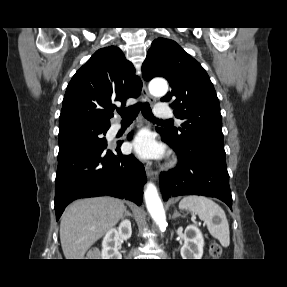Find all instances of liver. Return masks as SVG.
I'll list each match as a JSON object with an SVG mask.
<instances>
[{
	"label": "liver",
	"mask_w": 287,
	"mask_h": 287,
	"mask_svg": "<svg viewBox=\"0 0 287 287\" xmlns=\"http://www.w3.org/2000/svg\"><path fill=\"white\" fill-rule=\"evenodd\" d=\"M124 202L112 197L81 199L62 215L60 241L65 259H83L87 250L123 217Z\"/></svg>",
	"instance_id": "6515ba94"
}]
</instances>
